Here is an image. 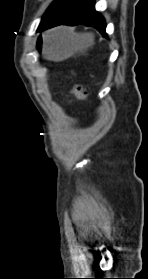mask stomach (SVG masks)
I'll return each mask as SVG.
<instances>
[{
  "instance_id": "obj_1",
  "label": "stomach",
  "mask_w": 148,
  "mask_h": 279,
  "mask_svg": "<svg viewBox=\"0 0 148 279\" xmlns=\"http://www.w3.org/2000/svg\"><path fill=\"white\" fill-rule=\"evenodd\" d=\"M93 44V37L85 35H77L75 33L64 31L63 29L55 32L53 40L45 44H36L38 55H42V59H63L75 52H82Z\"/></svg>"
}]
</instances>
